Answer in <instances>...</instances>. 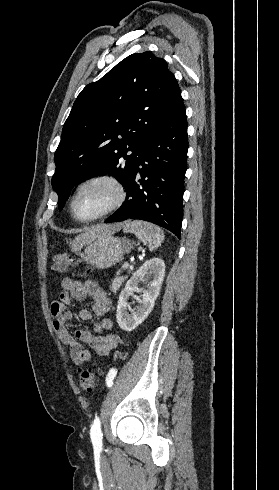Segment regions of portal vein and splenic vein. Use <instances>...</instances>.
<instances>
[{"mask_svg": "<svg viewBox=\"0 0 279 490\" xmlns=\"http://www.w3.org/2000/svg\"><path fill=\"white\" fill-rule=\"evenodd\" d=\"M122 268H129L128 262H125V264H124V266H122Z\"/></svg>", "mask_w": 279, "mask_h": 490, "instance_id": "1", "label": "portal vein and splenic vein"}]
</instances>
